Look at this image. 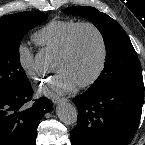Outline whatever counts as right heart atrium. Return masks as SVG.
Masks as SVG:
<instances>
[{"label": "right heart atrium", "mask_w": 145, "mask_h": 145, "mask_svg": "<svg viewBox=\"0 0 145 145\" xmlns=\"http://www.w3.org/2000/svg\"><path fill=\"white\" fill-rule=\"evenodd\" d=\"M17 62L21 70L33 80H40L43 72L35 61V54L30 46L21 42L16 50Z\"/></svg>", "instance_id": "obj_1"}]
</instances>
